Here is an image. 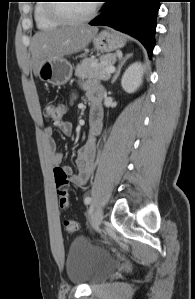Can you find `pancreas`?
Wrapping results in <instances>:
<instances>
[{"label": "pancreas", "mask_w": 195, "mask_h": 299, "mask_svg": "<svg viewBox=\"0 0 195 299\" xmlns=\"http://www.w3.org/2000/svg\"><path fill=\"white\" fill-rule=\"evenodd\" d=\"M116 60L115 55L101 56L99 59L94 57L84 58L75 69V75L79 78H88L96 80H108L111 74L106 73L105 69L113 66Z\"/></svg>", "instance_id": "cf45deb5"}]
</instances>
